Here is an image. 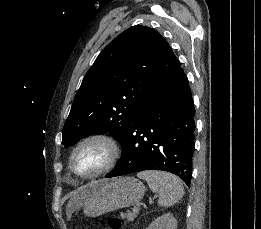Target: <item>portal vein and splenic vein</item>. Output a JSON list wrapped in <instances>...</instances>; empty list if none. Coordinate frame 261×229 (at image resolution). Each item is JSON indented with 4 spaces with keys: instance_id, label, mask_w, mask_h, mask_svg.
I'll use <instances>...</instances> for the list:
<instances>
[{
    "instance_id": "18ae733b",
    "label": "portal vein and splenic vein",
    "mask_w": 261,
    "mask_h": 229,
    "mask_svg": "<svg viewBox=\"0 0 261 229\" xmlns=\"http://www.w3.org/2000/svg\"><path fill=\"white\" fill-rule=\"evenodd\" d=\"M141 207H143V204L138 203L137 206L135 207V210L139 211Z\"/></svg>"
}]
</instances>
